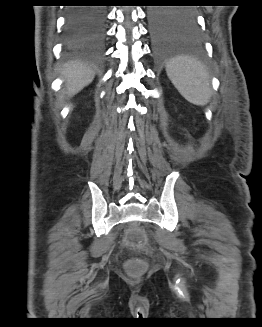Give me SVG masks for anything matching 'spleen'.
<instances>
[{
  "mask_svg": "<svg viewBox=\"0 0 262 327\" xmlns=\"http://www.w3.org/2000/svg\"><path fill=\"white\" fill-rule=\"evenodd\" d=\"M166 72L187 101L195 105H204L209 101L211 96L209 75L200 62L189 57H177L167 64Z\"/></svg>",
  "mask_w": 262,
  "mask_h": 327,
  "instance_id": "obj_1",
  "label": "spleen"
}]
</instances>
